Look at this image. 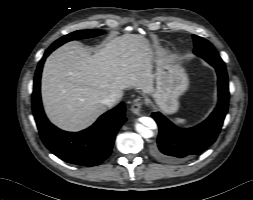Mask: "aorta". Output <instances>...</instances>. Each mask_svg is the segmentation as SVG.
<instances>
[{"mask_svg": "<svg viewBox=\"0 0 253 200\" xmlns=\"http://www.w3.org/2000/svg\"><path fill=\"white\" fill-rule=\"evenodd\" d=\"M146 120L148 121L149 125L155 126V122L151 118H146ZM135 128H136V131L144 138H150L153 136V132L151 128L143 124L137 123Z\"/></svg>", "mask_w": 253, "mask_h": 200, "instance_id": "obj_1", "label": "aorta"}]
</instances>
